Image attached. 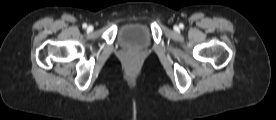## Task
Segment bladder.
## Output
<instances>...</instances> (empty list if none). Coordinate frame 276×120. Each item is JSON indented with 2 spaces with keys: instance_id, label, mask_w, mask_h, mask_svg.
<instances>
[{
  "instance_id": "31cf9c89",
  "label": "bladder",
  "mask_w": 276,
  "mask_h": 120,
  "mask_svg": "<svg viewBox=\"0 0 276 120\" xmlns=\"http://www.w3.org/2000/svg\"><path fill=\"white\" fill-rule=\"evenodd\" d=\"M120 39L122 44L127 47H143L148 43L147 29L141 24H130L121 30Z\"/></svg>"
}]
</instances>
